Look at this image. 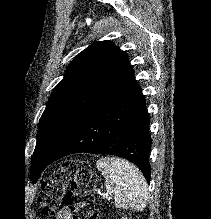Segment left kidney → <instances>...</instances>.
<instances>
[{"instance_id": "left-kidney-1", "label": "left kidney", "mask_w": 211, "mask_h": 219, "mask_svg": "<svg viewBox=\"0 0 211 219\" xmlns=\"http://www.w3.org/2000/svg\"><path fill=\"white\" fill-rule=\"evenodd\" d=\"M121 219H128L127 217H123V218H121ZM129 219H131V218H129Z\"/></svg>"}]
</instances>
